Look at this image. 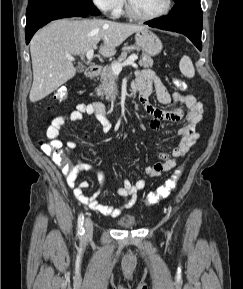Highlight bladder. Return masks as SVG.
Instances as JSON below:
<instances>
[{
  "instance_id": "obj_1",
  "label": "bladder",
  "mask_w": 243,
  "mask_h": 289,
  "mask_svg": "<svg viewBox=\"0 0 243 289\" xmlns=\"http://www.w3.org/2000/svg\"><path fill=\"white\" fill-rule=\"evenodd\" d=\"M136 223L132 215H125L117 220V224L122 228H132Z\"/></svg>"
}]
</instances>
